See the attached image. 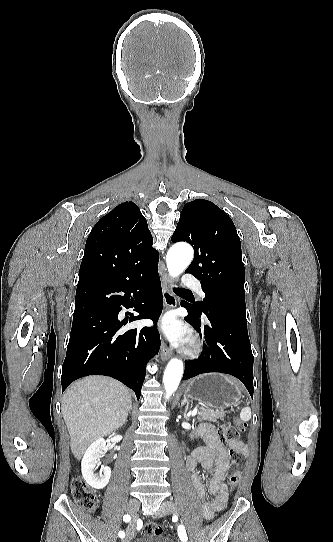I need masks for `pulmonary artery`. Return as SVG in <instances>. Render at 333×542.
<instances>
[{
    "label": "pulmonary artery",
    "mask_w": 333,
    "mask_h": 542,
    "mask_svg": "<svg viewBox=\"0 0 333 542\" xmlns=\"http://www.w3.org/2000/svg\"><path fill=\"white\" fill-rule=\"evenodd\" d=\"M197 277L193 273H189L185 275V278L183 280V287L187 289H193L194 291H199L201 289V284L199 282H196ZM200 298H203L205 294L203 292H200Z\"/></svg>",
    "instance_id": "e3ab8cb5"
}]
</instances>
